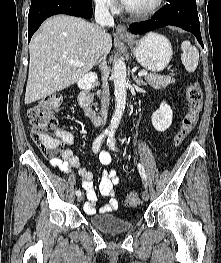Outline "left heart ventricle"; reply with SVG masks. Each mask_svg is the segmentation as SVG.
I'll return each instance as SVG.
<instances>
[{
	"label": "left heart ventricle",
	"mask_w": 221,
	"mask_h": 263,
	"mask_svg": "<svg viewBox=\"0 0 221 263\" xmlns=\"http://www.w3.org/2000/svg\"><path fill=\"white\" fill-rule=\"evenodd\" d=\"M156 0H127L126 4L131 8L145 9L152 6Z\"/></svg>",
	"instance_id": "b2bd125f"
}]
</instances>
